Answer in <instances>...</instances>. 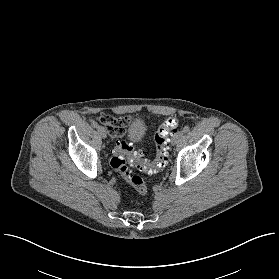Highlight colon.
I'll return each mask as SVG.
<instances>
[{"label":"colon","mask_w":279,"mask_h":279,"mask_svg":"<svg viewBox=\"0 0 279 279\" xmlns=\"http://www.w3.org/2000/svg\"><path fill=\"white\" fill-rule=\"evenodd\" d=\"M117 124V121H113ZM179 120L169 118L165 120L157 129L154 136L156 162L149 163L144 161L143 153L136 151L132 144L123 139H117L110 161L111 167L133 188L139 193L147 192V184L145 180L139 176L132 175L129 166L131 165L146 174H155L159 172L165 165L168 156L167 138L168 135L177 130Z\"/></svg>","instance_id":"1"}]
</instances>
